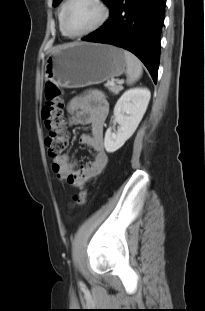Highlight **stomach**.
<instances>
[{
  "mask_svg": "<svg viewBox=\"0 0 205 311\" xmlns=\"http://www.w3.org/2000/svg\"><path fill=\"white\" fill-rule=\"evenodd\" d=\"M124 50L98 43H72L51 51L45 78L57 87L80 88L99 84L124 73Z\"/></svg>",
  "mask_w": 205,
  "mask_h": 311,
  "instance_id": "stomach-1",
  "label": "stomach"
}]
</instances>
